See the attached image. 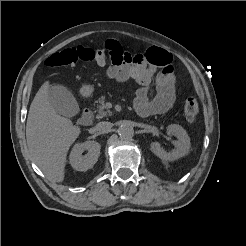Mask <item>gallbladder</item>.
<instances>
[{"label":"gallbladder","instance_id":"1","mask_svg":"<svg viewBox=\"0 0 246 246\" xmlns=\"http://www.w3.org/2000/svg\"><path fill=\"white\" fill-rule=\"evenodd\" d=\"M50 105L55 112L65 117H73L79 113V106L72 93L61 85H52L48 89Z\"/></svg>","mask_w":246,"mask_h":246}]
</instances>
